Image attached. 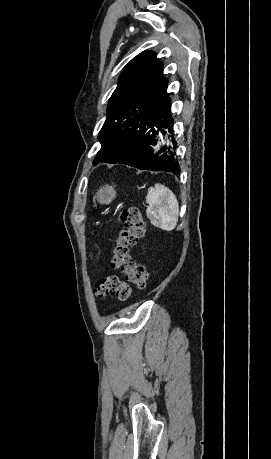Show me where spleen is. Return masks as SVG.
I'll list each match as a JSON object with an SVG mask.
<instances>
[{
	"label": "spleen",
	"mask_w": 271,
	"mask_h": 459,
	"mask_svg": "<svg viewBox=\"0 0 271 459\" xmlns=\"http://www.w3.org/2000/svg\"><path fill=\"white\" fill-rule=\"evenodd\" d=\"M146 204H149L146 212L147 216L156 228L171 229L176 228L179 216L178 202L171 190L155 184V188H149L146 196Z\"/></svg>",
	"instance_id": "obj_1"
}]
</instances>
